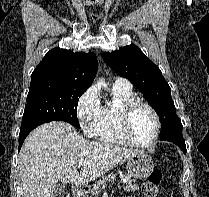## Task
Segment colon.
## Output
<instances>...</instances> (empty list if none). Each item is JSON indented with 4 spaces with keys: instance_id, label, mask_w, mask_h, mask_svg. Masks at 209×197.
<instances>
[{
    "instance_id": "1",
    "label": "colon",
    "mask_w": 209,
    "mask_h": 197,
    "mask_svg": "<svg viewBox=\"0 0 209 197\" xmlns=\"http://www.w3.org/2000/svg\"><path fill=\"white\" fill-rule=\"evenodd\" d=\"M163 174L160 170H153L148 180L142 185V192L145 197H158L159 187L162 181ZM61 197H70L68 194H63Z\"/></svg>"
}]
</instances>
